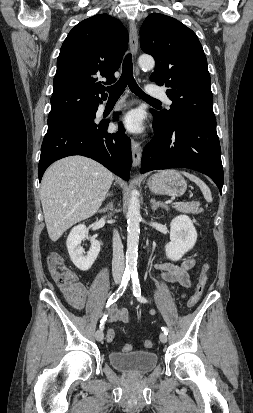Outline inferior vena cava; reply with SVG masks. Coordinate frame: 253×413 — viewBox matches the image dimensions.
<instances>
[{"instance_id": "602c4592", "label": "inferior vena cava", "mask_w": 253, "mask_h": 413, "mask_svg": "<svg viewBox=\"0 0 253 413\" xmlns=\"http://www.w3.org/2000/svg\"><path fill=\"white\" fill-rule=\"evenodd\" d=\"M112 272L114 276L121 277L124 272V253L120 235L117 231L113 234V259Z\"/></svg>"}]
</instances>
